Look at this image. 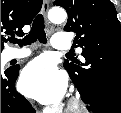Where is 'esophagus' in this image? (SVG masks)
Segmentation results:
<instances>
[{
    "label": "esophagus",
    "instance_id": "1",
    "mask_svg": "<svg viewBox=\"0 0 121 113\" xmlns=\"http://www.w3.org/2000/svg\"><path fill=\"white\" fill-rule=\"evenodd\" d=\"M49 10V1L48 0H43V5H42V14L46 18L47 12Z\"/></svg>",
    "mask_w": 121,
    "mask_h": 113
}]
</instances>
